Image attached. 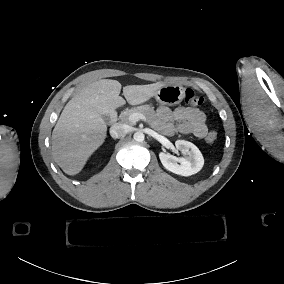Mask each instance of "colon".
<instances>
[{"instance_id": "5ec220e1", "label": "colon", "mask_w": 284, "mask_h": 284, "mask_svg": "<svg viewBox=\"0 0 284 284\" xmlns=\"http://www.w3.org/2000/svg\"><path fill=\"white\" fill-rule=\"evenodd\" d=\"M185 102L188 105L199 107L204 104L205 100L199 93H197L193 89L188 88L185 92ZM215 140L216 134L214 132L207 134L206 141L208 143H213Z\"/></svg>"}]
</instances>
